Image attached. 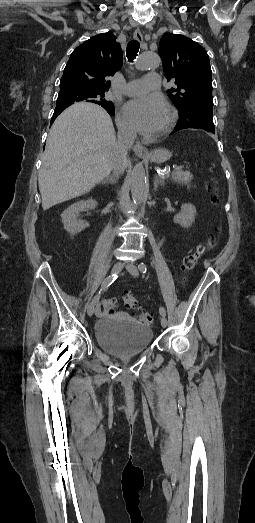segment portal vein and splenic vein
<instances>
[{
	"mask_svg": "<svg viewBox=\"0 0 255 523\" xmlns=\"http://www.w3.org/2000/svg\"><path fill=\"white\" fill-rule=\"evenodd\" d=\"M185 172V169L183 167L180 168H174V173H180L183 174Z\"/></svg>",
	"mask_w": 255,
	"mask_h": 523,
	"instance_id": "obj_1",
	"label": "portal vein and splenic vein"
}]
</instances>
